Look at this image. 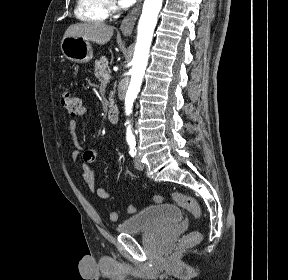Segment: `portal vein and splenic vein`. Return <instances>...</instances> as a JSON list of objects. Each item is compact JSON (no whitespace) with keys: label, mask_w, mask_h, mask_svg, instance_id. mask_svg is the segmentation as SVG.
<instances>
[{"label":"portal vein and splenic vein","mask_w":288,"mask_h":280,"mask_svg":"<svg viewBox=\"0 0 288 280\" xmlns=\"http://www.w3.org/2000/svg\"><path fill=\"white\" fill-rule=\"evenodd\" d=\"M103 78L105 79V80H109L110 79V74H109V72H105L104 73V75H103Z\"/></svg>","instance_id":"18ae733b"}]
</instances>
